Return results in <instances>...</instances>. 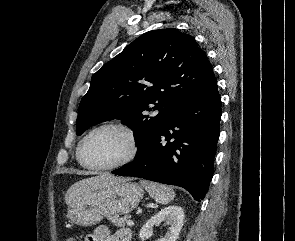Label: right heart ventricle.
I'll return each instance as SVG.
<instances>
[{
  "instance_id": "e07e8e85",
  "label": "right heart ventricle",
  "mask_w": 295,
  "mask_h": 241,
  "mask_svg": "<svg viewBox=\"0 0 295 241\" xmlns=\"http://www.w3.org/2000/svg\"><path fill=\"white\" fill-rule=\"evenodd\" d=\"M80 144V143H79ZM78 147H79V145H78ZM78 147H77V150H76V157H77V151H78ZM77 160H78V158H77Z\"/></svg>"
}]
</instances>
